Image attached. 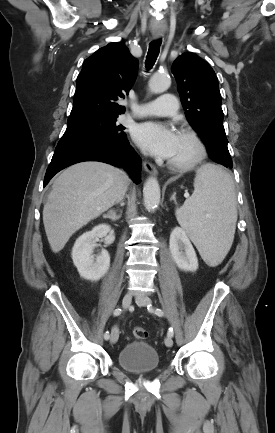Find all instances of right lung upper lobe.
I'll use <instances>...</instances> for the list:
<instances>
[{
    "label": "right lung upper lobe",
    "instance_id": "obj_1",
    "mask_svg": "<svg viewBox=\"0 0 275 433\" xmlns=\"http://www.w3.org/2000/svg\"><path fill=\"white\" fill-rule=\"evenodd\" d=\"M137 70L138 61L122 43L113 42L98 49L85 60L77 77L74 106L69 118L124 113L125 107L116 101L128 94Z\"/></svg>",
    "mask_w": 275,
    "mask_h": 433
}]
</instances>
